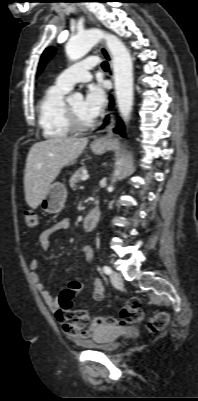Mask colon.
I'll list each match as a JSON object with an SVG mask.
<instances>
[{
	"mask_svg": "<svg viewBox=\"0 0 198 401\" xmlns=\"http://www.w3.org/2000/svg\"><path fill=\"white\" fill-rule=\"evenodd\" d=\"M24 224L27 228H37L39 226V218L36 212L32 210L23 211ZM77 285L72 282L62 291L60 295L61 308L72 315L78 317L80 326H86L89 323V317L83 310L73 307L72 299L74 297ZM140 299L136 296L130 297L123 306L119 317L100 316L94 319L96 323L102 326H120L126 324H135L142 321L144 314L140 309ZM168 323V315L165 312H158L148 323V328L152 332L161 331Z\"/></svg>",
	"mask_w": 198,
	"mask_h": 401,
	"instance_id": "colon-1",
	"label": "colon"
}]
</instances>
